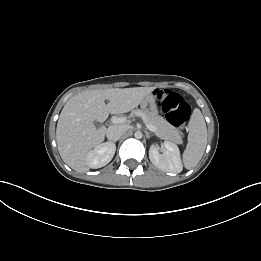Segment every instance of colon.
Segmentation results:
<instances>
[{
    "label": "colon",
    "mask_w": 261,
    "mask_h": 261,
    "mask_svg": "<svg viewBox=\"0 0 261 261\" xmlns=\"http://www.w3.org/2000/svg\"><path fill=\"white\" fill-rule=\"evenodd\" d=\"M155 96L169 122L176 127L183 128L191 113L190 106L184 98L170 89H158Z\"/></svg>",
    "instance_id": "colon-1"
}]
</instances>
